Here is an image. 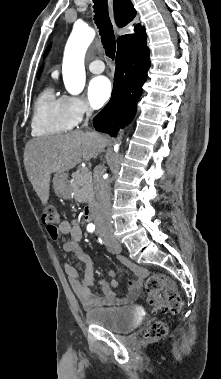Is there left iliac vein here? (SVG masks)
<instances>
[{"label":"left iliac vein","mask_w":221,"mask_h":379,"mask_svg":"<svg viewBox=\"0 0 221 379\" xmlns=\"http://www.w3.org/2000/svg\"><path fill=\"white\" fill-rule=\"evenodd\" d=\"M106 246L108 250L113 254H118L121 252V246L115 239L107 241Z\"/></svg>","instance_id":"4c4485c4"}]
</instances>
